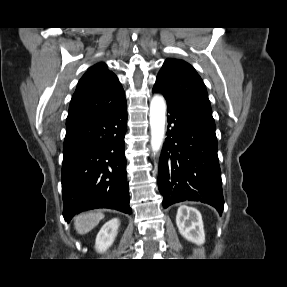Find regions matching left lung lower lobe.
<instances>
[{"mask_svg":"<svg viewBox=\"0 0 287 287\" xmlns=\"http://www.w3.org/2000/svg\"><path fill=\"white\" fill-rule=\"evenodd\" d=\"M167 110V138L158 171L163 207L185 200L201 201L221 214L224 199L215 131L168 102Z\"/></svg>","mask_w":287,"mask_h":287,"instance_id":"obj_1","label":"left lung lower lobe"}]
</instances>
